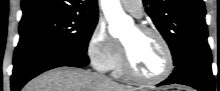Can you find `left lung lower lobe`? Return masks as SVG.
<instances>
[{"instance_id":"left-lung-lower-lobe-1","label":"left lung lower lobe","mask_w":220,"mask_h":91,"mask_svg":"<svg viewBox=\"0 0 220 91\" xmlns=\"http://www.w3.org/2000/svg\"><path fill=\"white\" fill-rule=\"evenodd\" d=\"M211 53L191 58L185 64L177 66L168 79L159 85L183 84L199 91H214L215 79L211 70Z\"/></svg>"}]
</instances>
